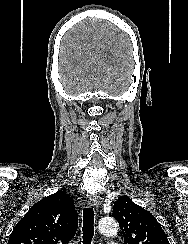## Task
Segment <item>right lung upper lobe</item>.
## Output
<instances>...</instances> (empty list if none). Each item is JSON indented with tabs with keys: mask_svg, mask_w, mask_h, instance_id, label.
<instances>
[{
	"mask_svg": "<svg viewBox=\"0 0 188 244\" xmlns=\"http://www.w3.org/2000/svg\"><path fill=\"white\" fill-rule=\"evenodd\" d=\"M77 228L73 198L59 190L29 209L14 227L8 244H67Z\"/></svg>",
	"mask_w": 188,
	"mask_h": 244,
	"instance_id": "obj_1",
	"label": "right lung upper lobe"
}]
</instances>
